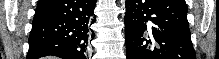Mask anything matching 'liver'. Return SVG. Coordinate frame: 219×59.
<instances>
[{
    "mask_svg": "<svg viewBox=\"0 0 219 59\" xmlns=\"http://www.w3.org/2000/svg\"><path fill=\"white\" fill-rule=\"evenodd\" d=\"M47 59H54V58L48 57Z\"/></svg>",
    "mask_w": 219,
    "mask_h": 59,
    "instance_id": "liver-1",
    "label": "liver"
}]
</instances>
